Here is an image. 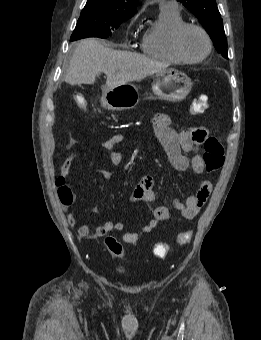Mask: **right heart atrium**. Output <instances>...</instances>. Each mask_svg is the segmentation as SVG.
Segmentation results:
<instances>
[{
  "label": "right heart atrium",
  "mask_w": 261,
  "mask_h": 340,
  "mask_svg": "<svg viewBox=\"0 0 261 340\" xmlns=\"http://www.w3.org/2000/svg\"><path fill=\"white\" fill-rule=\"evenodd\" d=\"M136 20V17H133L131 20V23H133Z\"/></svg>",
  "instance_id": "1"
}]
</instances>
